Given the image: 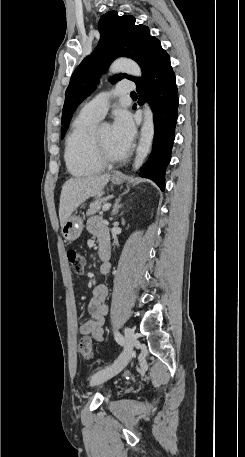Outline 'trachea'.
<instances>
[{"mask_svg": "<svg viewBox=\"0 0 245 457\" xmlns=\"http://www.w3.org/2000/svg\"><path fill=\"white\" fill-rule=\"evenodd\" d=\"M131 95H136V92H131Z\"/></svg>", "mask_w": 245, "mask_h": 457, "instance_id": "trachea-1", "label": "trachea"}]
</instances>
